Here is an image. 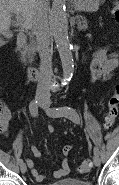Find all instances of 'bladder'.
I'll use <instances>...</instances> for the list:
<instances>
[{
    "mask_svg": "<svg viewBox=\"0 0 119 185\" xmlns=\"http://www.w3.org/2000/svg\"><path fill=\"white\" fill-rule=\"evenodd\" d=\"M48 185H92V183L87 180L67 178Z\"/></svg>",
    "mask_w": 119,
    "mask_h": 185,
    "instance_id": "bladder-1",
    "label": "bladder"
}]
</instances>
